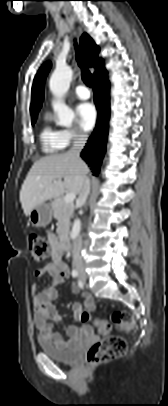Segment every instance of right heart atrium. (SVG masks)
<instances>
[{
	"label": "right heart atrium",
	"mask_w": 168,
	"mask_h": 406,
	"mask_svg": "<svg viewBox=\"0 0 168 406\" xmlns=\"http://www.w3.org/2000/svg\"><path fill=\"white\" fill-rule=\"evenodd\" d=\"M62 135L67 145L83 141L87 138V135L82 130L76 128L62 130Z\"/></svg>",
	"instance_id": "1"
}]
</instances>
